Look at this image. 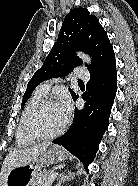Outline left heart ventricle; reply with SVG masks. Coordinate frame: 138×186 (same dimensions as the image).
Masks as SVG:
<instances>
[{
  "label": "left heart ventricle",
  "instance_id": "1",
  "mask_svg": "<svg viewBox=\"0 0 138 186\" xmlns=\"http://www.w3.org/2000/svg\"><path fill=\"white\" fill-rule=\"evenodd\" d=\"M66 115L59 104H49L38 110L29 120L30 130L38 135H48L61 129Z\"/></svg>",
  "mask_w": 138,
  "mask_h": 186
}]
</instances>
